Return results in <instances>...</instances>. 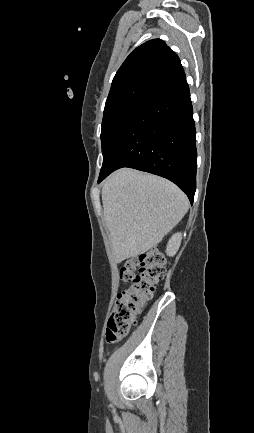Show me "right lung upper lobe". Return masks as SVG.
<instances>
[{"label": "right lung upper lobe", "instance_id": "obj_1", "mask_svg": "<svg viewBox=\"0 0 254 433\" xmlns=\"http://www.w3.org/2000/svg\"><path fill=\"white\" fill-rule=\"evenodd\" d=\"M183 73L178 56L165 42L153 39L137 47L113 78L105 107L126 100H148Z\"/></svg>", "mask_w": 254, "mask_h": 433}]
</instances>
